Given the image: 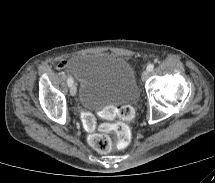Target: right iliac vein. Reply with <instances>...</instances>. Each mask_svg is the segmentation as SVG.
<instances>
[{"label":"right iliac vein","mask_w":215,"mask_h":183,"mask_svg":"<svg viewBox=\"0 0 215 183\" xmlns=\"http://www.w3.org/2000/svg\"><path fill=\"white\" fill-rule=\"evenodd\" d=\"M76 92H77L76 86H75V85H71V86H70V94H71L72 96H75V95H76Z\"/></svg>","instance_id":"63e3f726"}]
</instances>
